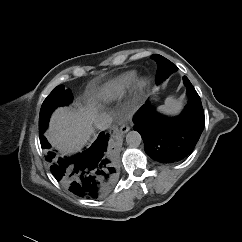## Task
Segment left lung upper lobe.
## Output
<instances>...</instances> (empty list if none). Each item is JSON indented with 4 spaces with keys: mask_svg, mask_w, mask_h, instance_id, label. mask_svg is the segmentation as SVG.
Returning a JSON list of instances; mask_svg holds the SVG:
<instances>
[{
    "mask_svg": "<svg viewBox=\"0 0 242 242\" xmlns=\"http://www.w3.org/2000/svg\"><path fill=\"white\" fill-rule=\"evenodd\" d=\"M157 63L158 70L156 73V83L165 80L170 76L171 73L175 72L178 68L172 62L165 57L154 54L151 56Z\"/></svg>",
    "mask_w": 242,
    "mask_h": 242,
    "instance_id": "left-lung-upper-lobe-1",
    "label": "left lung upper lobe"
}]
</instances>
